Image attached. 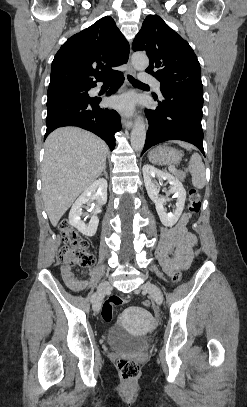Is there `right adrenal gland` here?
I'll return each mask as SVG.
<instances>
[{"instance_id": "2a0ac1e0", "label": "right adrenal gland", "mask_w": 247, "mask_h": 407, "mask_svg": "<svg viewBox=\"0 0 247 407\" xmlns=\"http://www.w3.org/2000/svg\"><path fill=\"white\" fill-rule=\"evenodd\" d=\"M101 175H104L106 178H108V173L106 171V167H104L103 173Z\"/></svg>"}]
</instances>
